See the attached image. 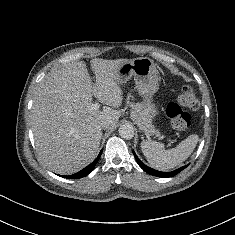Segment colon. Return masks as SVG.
<instances>
[{
  "label": "colon",
  "mask_w": 235,
  "mask_h": 235,
  "mask_svg": "<svg viewBox=\"0 0 235 235\" xmlns=\"http://www.w3.org/2000/svg\"><path fill=\"white\" fill-rule=\"evenodd\" d=\"M199 101L191 87H184L175 102L167 106L166 112L172 126L178 131H187L192 126V117L184 109L195 110Z\"/></svg>",
  "instance_id": "obj_1"
}]
</instances>
